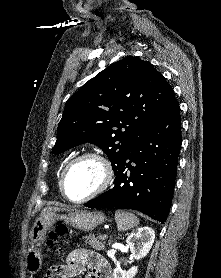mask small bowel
<instances>
[{
    "mask_svg": "<svg viewBox=\"0 0 221 278\" xmlns=\"http://www.w3.org/2000/svg\"><path fill=\"white\" fill-rule=\"evenodd\" d=\"M62 278H81L86 270L90 278H111V268L99 254L84 248L70 252L66 263L62 266ZM44 278H51L46 275Z\"/></svg>",
    "mask_w": 221,
    "mask_h": 278,
    "instance_id": "1",
    "label": "small bowel"
}]
</instances>
